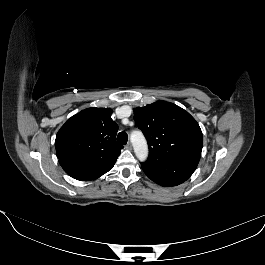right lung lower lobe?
Masks as SVG:
<instances>
[{
	"instance_id": "right-lung-lower-lobe-1",
	"label": "right lung lower lobe",
	"mask_w": 265,
	"mask_h": 265,
	"mask_svg": "<svg viewBox=\"0 0 265 265\" xmlns=\"http://www.w3.org/2000/svg\"><path fill=\"white\" fill-rule=\"evenodd\" d=\"M98 178V176H79V177H75V179L80 180V181H88V180H93Z\"/></svg>"
}]
</instances>
